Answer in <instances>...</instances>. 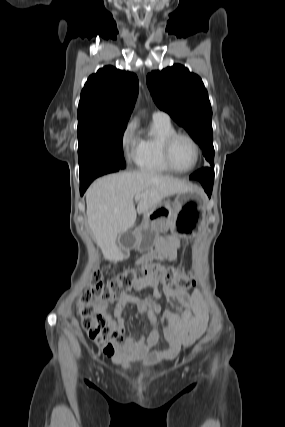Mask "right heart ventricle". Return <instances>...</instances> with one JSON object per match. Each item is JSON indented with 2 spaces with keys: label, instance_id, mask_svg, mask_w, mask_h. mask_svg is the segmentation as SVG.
<instances>
[{
  "label": "right heart ventricle",
  "instance_id": "right-heart-ventricle-1",
  "mask_svg": "<svg viewBox=\"0 0 285 427\" xmlns=\"http://www.w3.org/2000/svg\"><path fill=\"white\" fill-rule=\"evenodd\" d=\"M176 129L170 120L153 118L149 129L138 139L134 152V162L143 172L153 174H167V168L162 157V145L167 136Z\"/></svg>",
  "mask_w": 285,
  "mask_h": 427
}]
</instances>
